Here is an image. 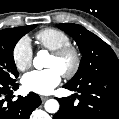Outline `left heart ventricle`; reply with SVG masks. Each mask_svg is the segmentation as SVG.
I'll use <instances>...</instances> for the list:
<instances>
[{"label": "left heart ventricle", "mask_w": 119, "mask_h": 119, "mask_svg": "<svg viewBox=\"0 0 119 119\" xmlns=\"http://www.w3.org/2000/svg\"><path fill=\"white\" fill-rule=\"evenodd\" d=\"M71 58L67 57L64 59H58L54 56H50L47 63H46V67L48 68H56L57 70H59L61 73L68 69L71 65Z\"/></svg>", "instance_id": "b2bd125f"}]
</instances>
